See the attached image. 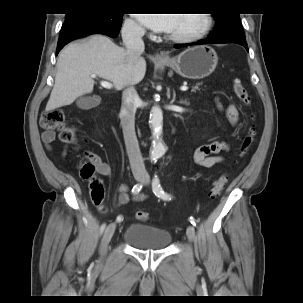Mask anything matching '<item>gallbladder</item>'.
Listing matches in <instances>:
<instances>
[{
	"label": "gallbladder",
	"instance_id": "1",
	"mask_svg": "<svg viewBox=\"0 0 303 303\" xmlns=\"http://www.w3.org/2000/svg\"><path fill=\"white\" fill-rule=\"evenodd\" d=\"M91 97L90 96H81L77 99L76 105L81 109H87L91 106Z\"/></svg>",
	"mask_w": 303,
	"mask_h": 303
}]
</instances>
